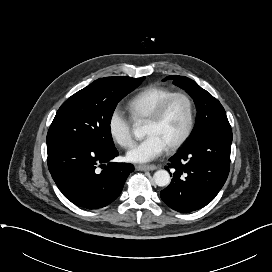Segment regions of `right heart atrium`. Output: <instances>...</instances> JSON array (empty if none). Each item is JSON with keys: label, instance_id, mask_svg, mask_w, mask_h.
<instances>
[{"label": "right heart atrium", "instance_id": "right-heart-atrium-1", "mask_svg": "<svg viewBox=\"0 0 272 272\" xmlns=\"http://www.w3.org/2000/svg\"><path fill=\"white\" fill-rule=\"evenodd\" d=\"M107 126L111 138L118 145L123 148H127L132 144L133 121L119 108H115L110 113Z\"/></svg>", "mask_w": 272, "mask_h": 272}]
</instances>
